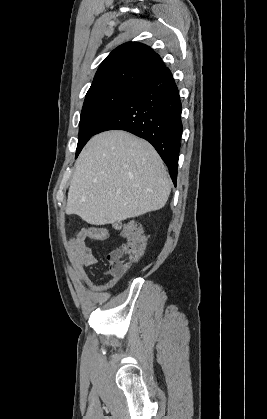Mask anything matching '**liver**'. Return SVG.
Returning a JSON list of instances; mask_svg holds the SVG:
<instances>
[{"label": "liver", "mask_w": 267, "mask_h": 419, "mask_svg": "<svg viewBox=\"0 0 267 419\" xmlns=\"http://www.w3.org/2000/svg\"><path fill=\"white\" fill-rule=\"evenodd\" d=\"M171 191L153 146L121 130L92 137L80 153L65 212L92 225L138 217L164 207Z\"/></svg>", "instance_id": "obj_1"}]
</instances>
